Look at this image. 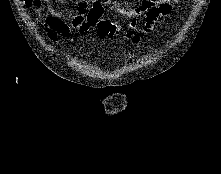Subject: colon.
I'll list each match as a JSON object with an SVG mask.
<instances>
[{"label": "colon", "instance_id": "5ec220e1", "mask_svg": "<svg viewBox=\"0 0 221 174\" xmlns=\"http://www.w3.org/2000/svg\"><path fill=\"white\" fill-rule=\"evenodd\" d=\"M39 0H24L27 6L36 5ZM132 27L135 26V22H132ZM98 33L100 36L105 37L109 35H113L117 31V27L115 24L111 23L110 21L101 20L97 25ZM129 36L131 37L134 43H137L140 39L139 35L130 33Z\"/></svg>", "mask_w": 221, "mask_h": 174}]
</instances>
